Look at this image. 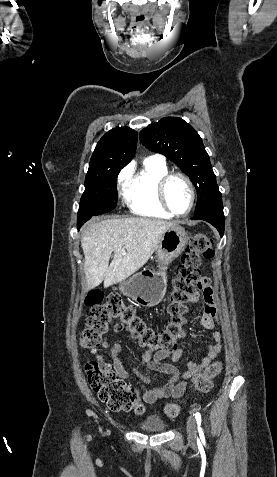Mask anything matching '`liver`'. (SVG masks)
<instances>
[{
  "instance_id": "obj_1",
  "label": "liver",
  "mask_w": 277,
  "mask_h": 477,
  "mask_svg": "<svg viewBox=\"0 0 277 477\" xmlns=\"http://www.w3.org/2000/svg\"><path fill=\"white\" fill-rule=\"evenodd\" d=\"M176 224L151 218H118L85 224L81 236L85 290L103 281L108 287L131 276L147 263L166 230ZM112 252L114 258L109 265Z\"/></svg>"
}]
</instances>
